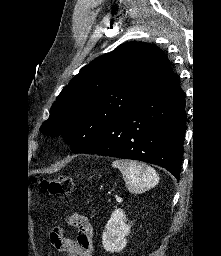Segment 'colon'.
Here are the masks:
<instances>
[{
  "label": "colon",
  "mask_w": 221,
  "mask_h": 256,
  "mask_svg": "<svg viewBox=\"0 0 221 256\" xmlns=\"http://www.w3.org/2000/svg\"><path fill=\"white\" fill-rule=\"evenodd\" d=\"M41 189L47 194H70L75 190V182L65 176L44 178L39 181Z\"/></svg>",
  "instance_id": "obj_1"
}]
</instances>
